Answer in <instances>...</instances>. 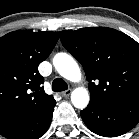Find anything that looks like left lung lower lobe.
<instances>
[{"label":"left lung lower lobe","instance_id":"0a47b994","mask_svg":"<svg viewBox=\"0 0 139 139\" xmlns=\"http://www.w3.org/2000/svg\"><path fill=\"white\" fill-rule=\"evenodd\" d=\"M80 114L92 132L104 137H115L128 132L139 122V100L113 106L89 103Z\"/></svg>","mask_w":139,"mask_h":139}]
</instances>
